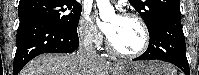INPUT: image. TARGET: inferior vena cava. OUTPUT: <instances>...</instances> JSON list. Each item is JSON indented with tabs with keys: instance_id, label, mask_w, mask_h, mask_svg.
<instances>
[{
	"instance_id": "1",
	"label": "inferior vena cava",
	"mask_w": 199,
	"mask_h": 75,
	"mask_svg": "<svg viewBox=\"0 0 199 75\" xmlns=\"http://www.w3.org/2000/svg\"><path fill=\"white\" fill-rule=\"evenodd\" d=\"M93 33L91 32L89 35H87L83 41V43L80 46L81 52L84 54L91 56L93 58H99L97 52L95 51V48L93 46Z\"/></svg>"
}]
</instances>
